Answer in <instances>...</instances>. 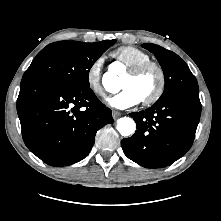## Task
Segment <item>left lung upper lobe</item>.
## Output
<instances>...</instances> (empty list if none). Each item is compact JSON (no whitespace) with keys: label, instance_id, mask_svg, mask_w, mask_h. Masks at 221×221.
<instances>
[{"label":"left lung upper lobe","instance_id":"1","mask_svg":"<svg viewBox=\"0 0 221 221\" xmlns=\"http://www.w3.org/2000/svg\"><path fill=\"white\" fill-rule=\"evenodd\" d=\"M159 61L165 78L164 92L158 101L178 92L199 93L198 83L187 64L174 52L155 44H143Z\"/></svg>","mask_w":221,"mask_h":221}]
</instances>
